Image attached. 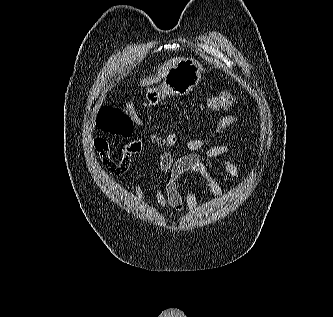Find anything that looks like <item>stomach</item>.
<instances>
[{"instance_id":"obj_1","label":"stomach","mask_w":333,"mask_h":317,"mask_svg":"<svg viewBox=\"0 0 333 317\" xmlns=\"http://www.w3.org/2000/svg\"><path fill=\"white\" fill-rule=\"evenodd\" d=\"M202 65L193 59H184L172 67L159 87L149 88L146 100L157 105L166 96H181L190 93L201 79Z\"/></svg>"}]
</instances>
